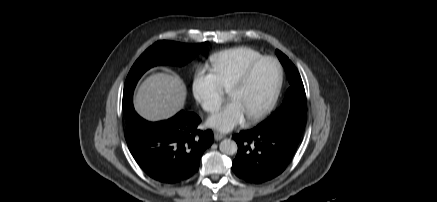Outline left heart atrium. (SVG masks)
Here are the masks:
<instances>
[{
	"label": "left heart atrium",
	"instance_id": "left-heart-atrium-1",
	"mask_svg": "<svg viewBox=\"0 0 437 202\" xmlns=\"http://www.w3.org/2000/svg\"><path fill=\"white\" fill-rule=\"evenodd\" d=\"M246 116L237 101H230L220 111L208 118L207 123L222 132H228L243 123Z\"/></svg>",
	"mask_w": 437,
	"mask_h": 202
}]
</instances>
